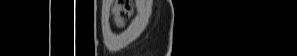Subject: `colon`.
<instances>
[{
  "label": "colon",
  "mask_w": 297,
  "mask_h": 56,
  "mask_svg": "<svg viewBox=\"0 0 297 56\" xmlns=\"http://www.w3.org/2000/svg\"><path fill=\"white\" fill-rule=\"evenodd\" d=\"M114 19L117 25H122L125 19L132 13V2L119 0L114 6Z\"/></svg>",
  "instance_id": "colon-1"
}]
</instances>
